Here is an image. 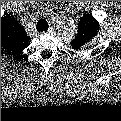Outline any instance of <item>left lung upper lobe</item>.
<instances>
[{
    "mask_svg": "<svg viewBox=\"0 0 121 121\" xmlns=\"http://www.w3.org/2000/svg\"><path fill=\"white\" fill-rule=\"evenodd\" d=\"M99 31V24L91 15H84L79 22L78 33L72 42L74 49H81L86 45Z\"/></svg>",
    "mask_w": 121,
    "mask_h": 121,
    "instance_id": "left-lung-upper-lobe-1",
    "label": "left lung upper lobe"
}]
</instances>
